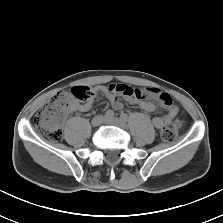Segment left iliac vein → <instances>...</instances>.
<instances>
[{"instance_id":"obj_1","label":"left iliac vein","mask_w":223,"mask_h":223,"mask_svg":"<svg viewBox=\"0 0 223 223\" xmlns=\"http://www.w3.org/2000/svg\"><path fill=\"white\" fill-rule=\"evenodd\" d=\"M104 122L109 125H114L120 128L126 127V122L121 118H105Z\"/></svg>"}]
</instances>
